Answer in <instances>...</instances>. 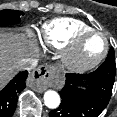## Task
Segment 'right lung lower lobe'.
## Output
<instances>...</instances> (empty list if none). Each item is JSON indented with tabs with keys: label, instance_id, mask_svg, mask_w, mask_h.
Wrapping results in <instances>:
<instances>
[{
	"label": "right lung lower lobe",
	"instance_id": "obj_1",
	"mask_svg": "<svg viewBox=\"0 0 117 117\" xmlns=\"http://www.w3.org/2000/svg\"><path fill=\"white\" fill-rule=\"evenodd\" d=\"M28 72H19L8 84L0 91V117H12L16 105L17 94L25 87Z\"/></svg>",
	"mask_w": 117,
	"mask_h": 117
}]
</instances>
